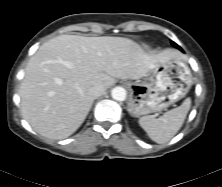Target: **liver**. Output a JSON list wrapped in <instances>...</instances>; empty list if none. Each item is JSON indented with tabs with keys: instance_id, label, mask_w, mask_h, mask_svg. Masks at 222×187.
<instances>
[{
	"instance_id": "1",
	"label": "liver",
	"mask_w": 222,
	"mask_h": 187,
	"mask_svg": "<svg viewBox=\"0 0 222 187\" xmlns=\"http://www.w3.org/2000/svg\"><path fill=\"white\" fill-rule=\"evenodd\" d=\"M178 57L177 50L146 52L123 37L57 36L43 43L27 64L19 89L22 115L40 135L65 139L88 115L92 86L108 89L117 78L140 79Z\"/></svg>"
}]
</instances>
